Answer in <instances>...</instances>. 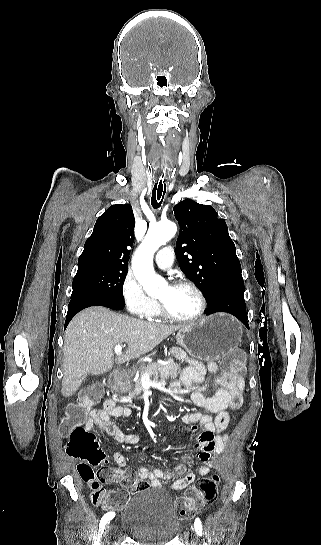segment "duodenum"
Returning a JSON list of instances; mask_svg holds the SVG:
<instances>
[{
    "label": "duodenum",
    "mask_w": 321,
    "mask_h": 545,
    "mask_svg": "<svg viewBox=\"0 0 321 545\" xmlns=\"http://www.w3.org/2000/svg\"><path fill=\"white\" fill-rule=\"evenodd\" d=\"M125 375L121 371H115L111 374L109 378L110 385L114 389H119L124 383Z\"/></svg>",
    "instance_id": "duodenum-1"
}]
</instances>
